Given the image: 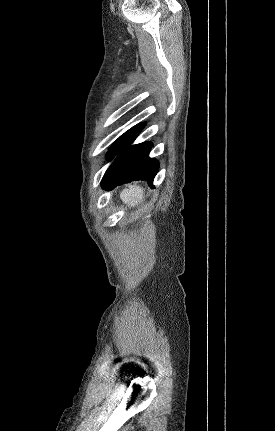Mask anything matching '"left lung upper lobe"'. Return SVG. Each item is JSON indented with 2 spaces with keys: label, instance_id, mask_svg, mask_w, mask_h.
Instances as JSON below:
<instances>
[{
  "label": "left lung upper lobe",
  "instance_id": "obj_1",
  "mask_svg": "<svg viewBox=\"0 0 275 431\" xmlns=\"http://www.w3.org/2000/svg\"><path fill=\"white\" fill-rule=\"evenodd\" d=\"M144 127V123L137 125L128 131H126L123 135H121L111 146L109 149V152L107 153L106 158L108 160H112L119 152L120 150L125 147L129 142H131L137 134L141 131V129Z\"/></svg>",
  "mask_w": 275,
  "mask_h": 431
}]
</instances>
